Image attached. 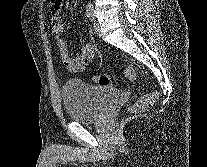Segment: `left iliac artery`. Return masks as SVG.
Returning <instances> with one entry per match:
<instances>
[{
    "label": "left iliac artery",
    "mask_w": 207,
    "mask_h": 167,
    "mask_svg": "<svg viewBox=\"0 0 207 167\" xmlns=\"http://www.w3.org/2000/svg\"><path fill=\"white\" fill-rule=\"evenodd\" d=\"M87 15L90 21L94 20V7L92 3H89L88 5Z\"/></svg>",
    "instance_id": "obj_1"
}]
</instances>
